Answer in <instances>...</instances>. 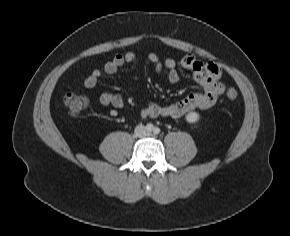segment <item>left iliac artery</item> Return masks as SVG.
Instances as JSON below:
<instances>
[{"mask_svg":"<svg viewBox=\"0 0 290 236\" xmlns=\"http://www.w3.org/2000/svg\"><path fill=\"white\" fill-rule=\"evenodd\" d=\"M153 132L155 135H158L160 133V129L158 127H155Z\"/></svg>","mask_w":290,"mask_h":236,"instance_id":"44dca946","label":"left iliac artery"}]
</instances>
